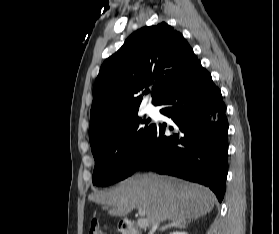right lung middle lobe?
<instances>
[{
	"label": "right lung middle lobe",
	"mask_w": 279,
	"mask_h": 234,
	"mask_svg": "<svg viewBox=\"0 0 279 234\" xmlns=\"http://www.w3.org/2000/svg\"><path fill=\"white\" fill-rule=\"evenodd\" d=\"M154 127L135 114L91 144L95 159L93 184L107 186L132 175L148 149Z\"/></svg>",
	"instance_id": "dd1d6c3e"
}]
</instances>
